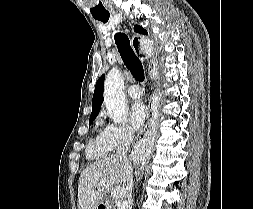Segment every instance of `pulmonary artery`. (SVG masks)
<instances>
[{"label":"pulmonary artery","mask_w":253,"mask_h":209,"mask_svg":"<svg viewBox=\"0 0 253 209\" xmlns=\"http://www.w3.org/2000/svg\"><path fill=\"white\" fill-rule=\"evenodd\" d=\"M128 95L133 99H139L142 96V89L139 85L133 84L128 88Z\"/></svg>","instance_id":"pulmonary-artery-1"}]
</instances>
